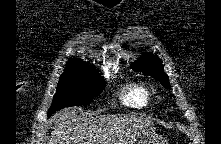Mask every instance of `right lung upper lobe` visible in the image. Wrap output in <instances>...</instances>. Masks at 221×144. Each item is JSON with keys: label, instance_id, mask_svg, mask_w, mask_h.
I'll use <instances>...</instances> for the list:
<instances>
[{"label": "right lung upper lobe", "instance_id": "obj_1", "mask_svg": "<svg viewBox=\"0 0 221 144\" xmlns=\"http://www.w3.org/2000/svg\"><path fill=\"white\" fill-rule=\"evenodd\" d=\"M91 67L87 63L77 58H70L66 68Z\"/></svg>", "mask_w": 221, "mask_h": 144}]
</instances>
